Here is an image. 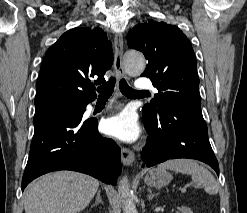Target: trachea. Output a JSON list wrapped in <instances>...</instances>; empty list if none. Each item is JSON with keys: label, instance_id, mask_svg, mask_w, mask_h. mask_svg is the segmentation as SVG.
<instances>
[{"label": "trachea", "instance_id": "1", "mask_svg": "<svg viewBox=\"0 0 247 213\" xmlns=\"http://www.w3.org/2000/svg\"><path fill=\"white\" fill-rule=\"evenodd\" d=\"M115 82H116V79L112 77L107 83L97 88V91L99 93V99H108L112 95ZM119 87H120L121 93L125 96H133V95L142 93L141 91H137L131 88L127 84L125 79L120 80Z\"/></svg>", "mask_w": 247, "mask_h": 213}]
</instances>
